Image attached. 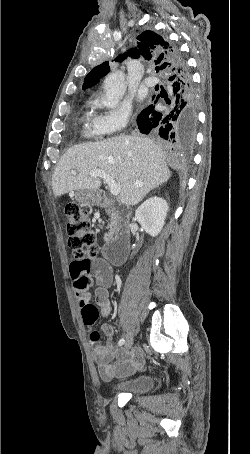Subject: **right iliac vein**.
<instances>
[{
  "label": "right iliac vein",
  "mask_w": 250,
  "mask_h": 454,
  "mask_svg": "<svg viewBox=\"0 0 250 454\" xmlns=\"http://www.w3.org/2000/svg\"><path fill=\"white\" fill-rule=\"evenodd\" d=\"M133 345V336L131 334H128L126 342H125V349L129 350Z\"/></svg>",
  "instance_id": "obj_1"
}]
</instances>
